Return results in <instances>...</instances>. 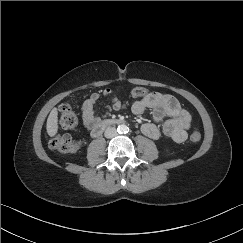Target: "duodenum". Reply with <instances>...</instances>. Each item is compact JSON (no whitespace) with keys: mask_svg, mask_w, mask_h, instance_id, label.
I'll list each match as a JSON object with an SVG mask.
<instances>
[{"mask_svg":"<svg viewBox=\"0 0 243 243\" xmlns=\"http://www.w3.org/2000/svg\"><path fill=\"white\" fill-rule=\"evenodd\" d=\"M122 121L117 119H106L102 122H100L98 125H96L91 132V136L93 138H98L104 130L109 128L110 126L120 124Z\"/></svg>","mask_w":243,"mask_h":243,"instance_id":"1","label":"duodenum"}]
</instances>
